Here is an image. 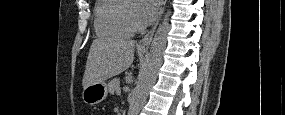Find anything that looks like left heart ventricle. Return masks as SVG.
I'll list each match as a JSON object with an SVG mask.
<instances>
[{
	"mask_svg": "<svg viewBox=\"0 0 285 115\" xmlns=\"http://www.w3.org/2000/svg\"><path fill=\"white\" fill-rule=\"evenodd\" d=\"M137 11L138 7L136 4H129L128 12L135 18H137Z\"/></svg>",
	"mask_w": 285,
	"mask_h": 115,
	"instance_id": "obj_1",
	"label": "left heart ventricle"
}]
</instances>
